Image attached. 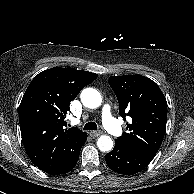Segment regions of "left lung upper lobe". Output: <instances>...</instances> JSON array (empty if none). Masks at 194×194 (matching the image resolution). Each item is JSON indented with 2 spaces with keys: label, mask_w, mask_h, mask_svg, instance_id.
<instances>
[{
  "label": "left lung upper lobe",
  "mask_w": 194,
  "mask_h": 194,
  "mask_svg": "<svg viewBox=\"0 0 194 194\" xmlns=\"http://www.w3.org/2000/svg\"><path fill=\"white\" fill-rule=\"evenodd\" d=\"M109 84L119 102V114L129 132L115 141L154 157L166 130L167 102L159 86L142 75L110 76Z\"/></svg>",
  "instance_id": "1"
}]
</instances>
